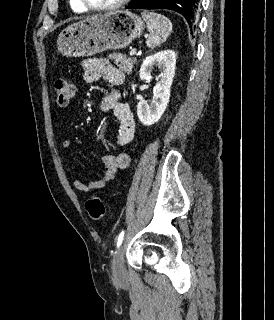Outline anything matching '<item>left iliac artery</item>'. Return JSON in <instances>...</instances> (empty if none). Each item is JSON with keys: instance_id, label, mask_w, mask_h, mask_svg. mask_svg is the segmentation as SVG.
Masks as SVG:
<instances>
[{"instance_id": "44dca946", "label": "left iliac artery", "mask_w": 274, "mask_h": 320, "mask_svg": "<svg viewBox=\"0 0 274 320\" xmlns=\"http://www.w3.org/2000/svg\"><path fill=\"white\" fill-rule=\"evenodd\" d=\"M124 238V230L121 231V233L118 236V240H117V248L121 245L122 241Z\"/></svg>"}]
</instances>
